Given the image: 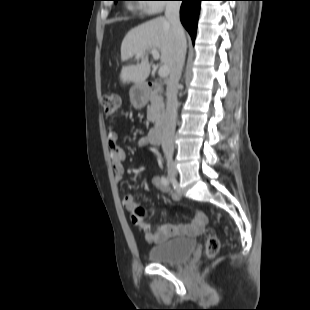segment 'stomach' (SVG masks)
Returning a JSON list of instances; mask_svg holds the SVG:
<instances>
[{
	"mask_svg": "<svg viewBox=\"0 0 310 310\" xmlns=\"http://www.w3.org/2000/svg\"><path fill=\"white\" fill-rule=\"evenodd\" d=\"M130 100L131 103L140 108L144 106L147 100V93L145 87L142 84H136L130 89Z\"/></svg>",
	"mask_w": 310,
	"mask_h": 310,
	"instance_id": "0dacf381",
	"label": "stomach"
}]
</instances>
